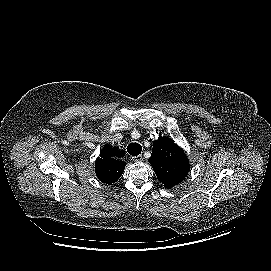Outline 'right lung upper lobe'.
<instances>
[{
  "label": "right lung upper lobe",
  "instance_id": "obj_1",
  "mask_svg": "<svg viewBox=\"0 0 271 271\" xmlns=\"http://www.w3.org/2000/svg\"><path fill=\"white\" fill-rule=\"evenodd\" d=\"M124 155L123 150L110 145L100 151V158L96 160L95 172L98 179L106 184L116 182L122 175L126 163L118 157Z\"/></svg>",
  "mask_w": 271,
  "mask_h": 271
}]
</instances>
